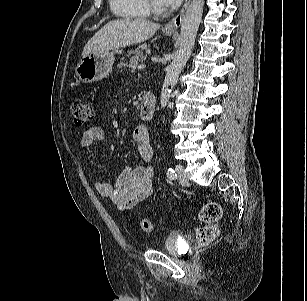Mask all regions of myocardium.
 <instances>
[{
    "instance_id": "obj_1",
    "label": "myocardium",
    "mask_w": 307,
    "mask_h": 301,
    "mask_svg": "<svg viewBox=\"0 0 307 301\" xmlns=\"http://www.w3.org/2000/svg\"><path fill=\"white\" fill-rule=\"evenodd\" d=\"M143 1L145 3V6H146L148 12L155 14V15L159 14L157 7L152 3L151 0H143Z\"/></svg>"
}]
</instances>
